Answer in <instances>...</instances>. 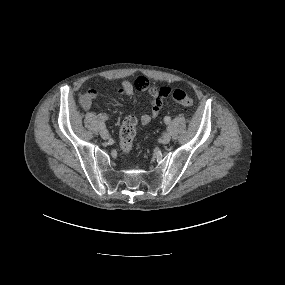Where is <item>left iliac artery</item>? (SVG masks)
Returning a JSON list of instances; mask_svg holds the SVG:
<instances>
[{
  "label": "left iliac artery",
  "mask_w": 285,
  "mask_h": 285,
  "mask_svg": "<svg viewBox=\"0 0 285 285\" xmlns=\"http://www.w3.org/2000/svg\"><path fill=\"white\" fill-rule=\"evenodd\" d=\"M170 117H168V116H166L165 118H164V122L166 123V124H169V122H170Z\"/></svg>",
  "instance_id": "obj_1"
}]
</instances>
